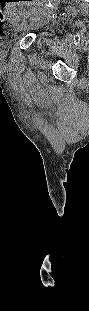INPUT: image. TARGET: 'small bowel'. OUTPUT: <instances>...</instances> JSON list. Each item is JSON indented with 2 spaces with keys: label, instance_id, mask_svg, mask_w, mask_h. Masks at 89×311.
<instances>
[{
  "label": "small bowel",
  "instance_id": "1",
  "mask_svg": "<svg viewBox=\"0 0 89 311\" xmlns=\"http://www.w3.org/2000/svg\"><path fill=\"white\" fill-rule=\"evenodd\" d=\"M8 18L11 19V20H15L17 18V14L15 13H9L8 14Z\"/></svg>",
  "mask_w": 89,
  "mask_h": 311
}]
</instances>
